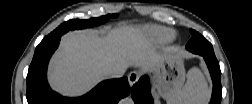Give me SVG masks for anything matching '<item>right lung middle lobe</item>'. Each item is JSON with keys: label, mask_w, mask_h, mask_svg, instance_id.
Instances as JSON below:
<instances>
[{"label": "right lung middle lobe", "mask_w": 252, "mask_h": 104, "mask_svg": "<svg viewBox=\"0 0 252 104\" xmlns=\"http://www.w3.org/2000/svg\"><path fill=\"white\" fill-rule=\"evenodd\" d=\"M116 16L117 14H113V15H106V16H102L98 18H92L88 20H79V19L69 20L61 24L57 29L51 32L42 41H49L57 37H60L64 33L68 32L69 30L88 28V27H93V26L103 24L106 21H108L109 18L111 17L114 18Z\"/></svg>", "instance_id": "obj_1"}]
</instances>
